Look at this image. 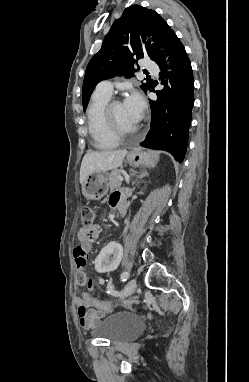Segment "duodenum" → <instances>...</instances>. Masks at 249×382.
Segmentation results:
<instances>
[{
	"instance_id": "obj_1",
	"label": "duodenum",
	"mask_w": 249,
	"mask_h": 382,
	"mask_svg": "<svg viewBox=\"0 0 249 382\" xmlns=\"http://www.w3.org/2000/svg\"><path fill=\"white\" fill-rule=\"evenodd\" d=\"M125 205H126L125 201L120 202V204L118 205V210L121 214H124L125 212Z\"/></svg>"
}]
</instances>
